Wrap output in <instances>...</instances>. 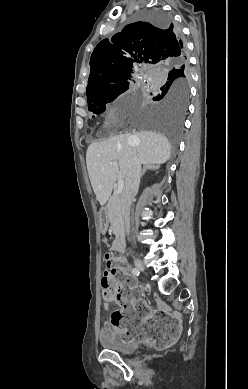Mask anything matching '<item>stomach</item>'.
<instances>
[{
	"label": "stomach",
	"instance_id": "stomach-1",
	"mask_svg": "<svg viewBox=\"0 0 248 389\" xmlns=\"http://www.w3.org/2000/svg\"><path fill=\"white\" fill-rule=\"evenodd\" d=\"M99 212L101 213V215H100L101 234L107 235L108 234L107 220H110V217H111L110 213H107L106 207H101L99 209Z\"/></svg>",
	"mask_w": 248,
	"mask_h": 389
}]
</instances>
